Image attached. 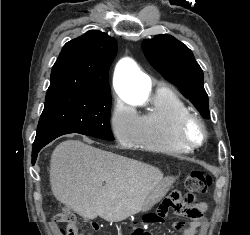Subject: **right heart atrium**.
Here are the masks:
<instances>
[{
  "label": "right heart atrium",
  "instance_id": "obj_1",
  "mask_svg": "<svg viewBox=\"0 0 250 235\" xmlns=\"http://www.w3.org/2000/svg\"><path fill=\"white\" fill-rule=\"evenodd\" d=\"M109 123L119 144L131 146L136 143L139 135V117L132 108L118 99L114 100Z\"/></svg>",
  "mask_w": 250,
  "mask_h": 235
}]
</instances>
